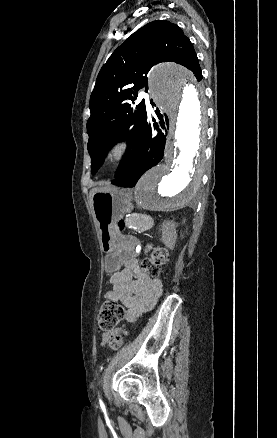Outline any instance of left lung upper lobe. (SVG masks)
Segmentation results:
<instances>
[{
	"instance_id": "left-lung-upper-lobe-1",
	"label": "left lung upper lobe",
	"mask_w": 277,
	"mask_h": 438,
	"mask_svg": "<svg viewBox=\"0 0 277 438\" xmlns=\"http://www.w3.org/2000/svg\"><path fill=\"white\" fill-rule=\"evenodd\" d=\"M176 62L191 70L198 81L202 71L189 38L174 23L152 21L126 39L102 66L90 97L91 116L87 121L88 152L91 171L95 174L108 150L119 140L134 145L133 158L147 126L145 101L132 106L139 89L147 87V74L160 62ZM152 103V100H151Z\"/></svg>"
}]
</instances>
